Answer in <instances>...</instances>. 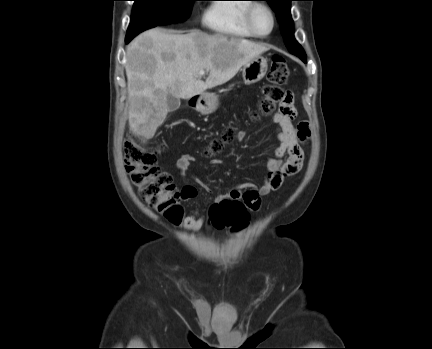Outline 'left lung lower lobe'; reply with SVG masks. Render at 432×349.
Listing matches in <instances>:
<instances>
[{"label":"left lung lower lobe","mask_w":432,"mask_h":349,"mask_svg":"<svg viewBox=\"0 0 432 349\" xmlns=\"http://www.w3.org/2000/svg\"><path fill=\"white\" fill-rule=\"evenodd\" d=\"M302 61L306 63V60H305V59H303Z\"/></svg>","instance_id":"0a47b994"}]
</instances>
